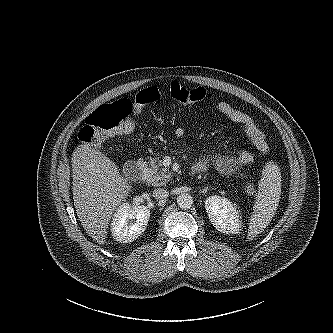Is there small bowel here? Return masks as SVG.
Returning <instances> with one entry per match:
<instances>
[{
	"instance_id": "c3829d8e",
	"label": "small bowel",
	"mask_w": 333,
	"mask_h": 333,
	"mask_svg": "<svg viewBox=\"0 0 333 333\" xmlns=\"http://www.w3.org/2000/svg\"><path fill=\"white\" fill-rule=\"evenodd\" d=\"M216 109L243 129L245 135L256 147L259 154L266 155L268 153L269 146L265 134L248 114L235 108L226 101H218L216 103ZM185 133V129L182 127H178L175 130V136L178 138L184 137ZM253 162L254 157L250 152L240 150L236 156L206 154L198 160L194 167H197L203 172L210 165H213L223 175L232 176L241 168L249 166Z\"/></svg>"
}]
</instances>
